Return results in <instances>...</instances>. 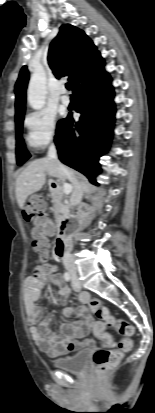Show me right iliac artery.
<instances>
[{
  "label": "right iliac artery",
  "instance_id": "1",
  "mask_svg": "<svg viewBox=\"0 0 155 413\" xmlns=\"http://www.w3.org/2000/svg\"><path fill=\"white\" fill-rule=\"evenodd\" d=\"M63 277L66 281H69L71 279V276L68 272H65Z\"/></svg>",
  "mask_w": 155,
  "mask_h": 413
}]
</instances>
